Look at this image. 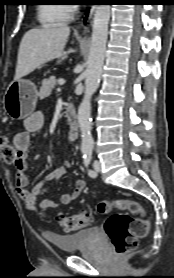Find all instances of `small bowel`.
<instances>
[{
    "mask_svg": "<svg viewBox=\"0 0 174 278\" xmlns=\"http://www.w3.org/2000/svg\"><path fill=\"white\" fill-rule=\"evenodd\" d=\"M43 126L44 115L41 112L33 113L24 121V131L14 137L13 144L16 154L13 162L16 170V191L18 196L24 201L26 207L31 211H37L36 202L38 198L47 192V184L60 179L66 173L67 168L70 167V164L66 162L64 165L50 172L44 180L38 182L31 190L27 189L29 184L27 157L31 149L32 137L40 132ZM85 187L86 181L84 179L77 180L73 191L61 195L60 203L64 205L70 204L79 197ZM58 204L53 199H45L41 202L40 208L48 210L56 208Z\"/></svg>",
    "mask_w": 174,
    "mask_h": 278,
    "instance_id": "obj_1",
    "label": "small bowel"
}]
</instances>
